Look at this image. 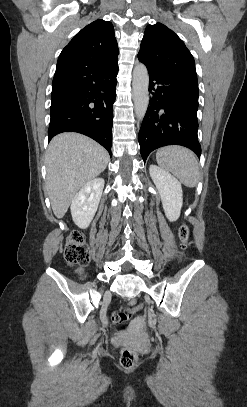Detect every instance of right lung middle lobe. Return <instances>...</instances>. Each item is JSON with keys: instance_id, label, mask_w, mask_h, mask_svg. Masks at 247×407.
<instances>
[{"instance_id": "right-lung-middle-lobe-1", "label": "right lung middle lobe", "mask_w": 247, "mask_h": 407, "mask_svg": "<svg viewBox=\"0 0 247 407\" xmlns=\"http://www.w3.org/2000/svg\"><path fill=\"white\" fill-rule=\"evenodd\" d=\"M56 93H59V92H52V94H51V95L56 94Z\"/></svg>"}]
</instances>
